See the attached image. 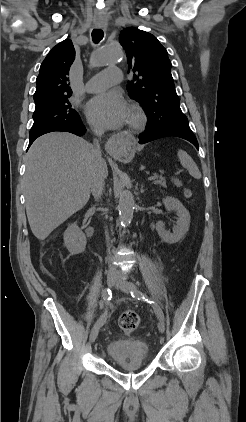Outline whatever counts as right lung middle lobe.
Instances as JSON below:
<instances>
[{
    "label": "right lung middle lobe",
    "instance_id": "dd1d6c3e",
    "mask_svg": "<svg viewBox=\"0 0 246 422\" xmlns=\"http://www.w3.org/2000/svg\"><path fill=\"white\" fill-rule=\"evenodd\" d=\"M68 97L59 98L48 105L36 108L33 114L34 124L29 135L38 134L52 127L72 126L80 122L81 119L72 109Z\"/></svg>",
    "mask_w": 246,
    "mask_h": 422
}]
</instances>
